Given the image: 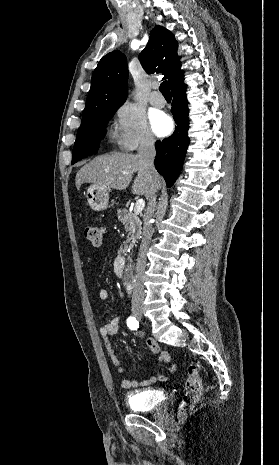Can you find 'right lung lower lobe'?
<instances>
[{
  "label": "right lung lower lobe",
  "instance_id": "obj_1",
  "mask_svg": "<svg viewBox=\"0 0 279 465\" xmlns=\"http://www.w3.org/2000/svg\"><path fill=\"white\" fill-rule=\"evenodd\" d=\"M183 80L171 89L173 94L171 112L177 124L176 130L169 138L156 142L155 167L164 177L168 187L172 186L179 176L189 144L187 134L189 111L185 95L186 84Z\"/></svg>",
  "mask_w": 279,
  "mask_h": 465
}]
</instances>
